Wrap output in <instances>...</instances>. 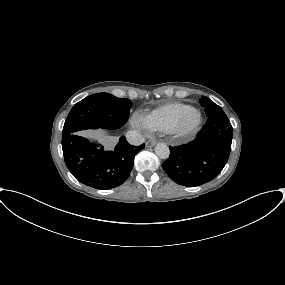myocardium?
<instances>
[{
  "mask_svg": "<svg viewBox=\"0 0 285 285\" xmlns=\"http://www.w3.org/2000/svg\"><path fill=\"white\" fill-rule=\"evenodd\" d=\"M192 114L196 116V120L193 124H189V119ZM201 121V112L196 108H191L182 115V117L179 119L178 123L171 132L178 137H185L191 135L199 129Z\"/></svg>",
  "mask_w": 285,
  "mask_h": 285,
  "instance_id": "1",
  "label": "myocardium"
}]
</instances>
